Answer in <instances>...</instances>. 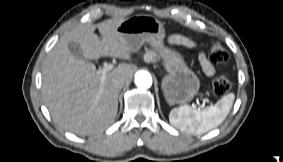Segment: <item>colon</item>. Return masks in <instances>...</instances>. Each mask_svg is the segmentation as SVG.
I'll return each mask as SVG.
<instances>
[{"instance_id":"1","label":"colon","mask_w":283,"mask_h":162,"mask_svg":"<svg viewBox=\"0 0 283 162\" xmlns=\"http://www.w3.org/2000/svg\"><path fill=\"white\" fill-rule=\"evenodd\" d=\"M210 60L214 63H224L228 60V52L219 43L214 42L210 48ZM232 87V83L228 73H220L215 77L212 83L214 95L221 97L227 94Z\"/></svg>"}]
</instances>
